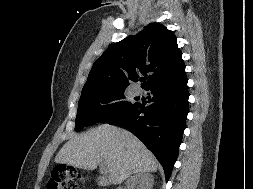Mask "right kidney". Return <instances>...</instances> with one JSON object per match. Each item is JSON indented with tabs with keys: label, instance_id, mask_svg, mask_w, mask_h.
Listing matches in <instances>:
<instances>
[{
	"label": "right kidney",
	"instance_id": "right-kidney-1",
	"mask_svg": "<svg viewBox=\"0 0 253 189\" xmlns=\"http://www.w3.org/2000/svg\"><path fill=\"white\" fill-rule=\"evenodd\" d=\"M153 176L148 173H139L127 180V185L125 189H152L153 186Z\"/></svg>",
	"mask_w": 253,
	"mask_h": 189
}]
</instances>
